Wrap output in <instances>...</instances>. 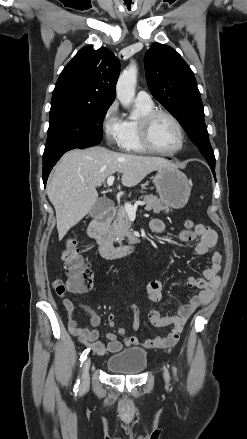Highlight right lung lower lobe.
Returning a JSON list of instances; mask_svg holds the SVG:
<instances>
[{
    "label": "right lung lower lobe",
    "mask_w": 247,
    "mask_h": 439,
    "mask_svg": "<svg viewBox=\"0 0 247 439\" xmlns=\"http://www.w3.org/2000/svg\"><path fill=\"white\" fill-rule=\"evenodd\" d=\"M62 155L63 154L58 155L56 157H53V158L43 162V183H44V186L46 185L47 178H48V175H49L51 169L56 164V162L61 158Z\"/></svg>",
    "instance_id": "98d812e1"
}]
</instances>
